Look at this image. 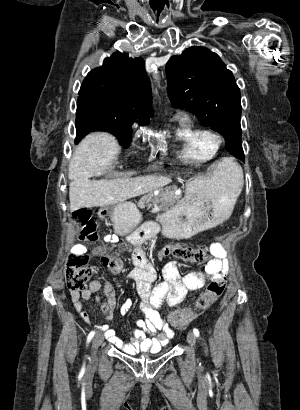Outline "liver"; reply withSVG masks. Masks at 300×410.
<instances>
[{
    "mask_svg": "<svg viewBox=\"0 0 300 410\" xmlns=\"http://www.w3.org/2000/svg\"><path fill=\"white\" fill-rule=\"evenodd\" d=\"M120 146L108 133L96 132L86 136L76 147L70 167V211L80 208L103 207L124 202L163 187L171 179L148 175L115 180H91L105 172L116 159Z\"/></svg>",
    "mask_w": 300,
    "mask_h": 410,
    "instance_id": "6515ba94",
    "label": "liver"
}]
</instances>
